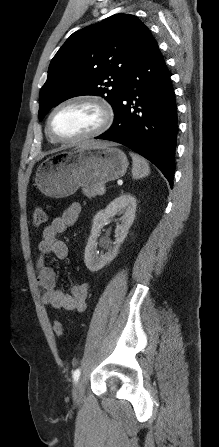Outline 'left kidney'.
Here are the masks:
<instances>
[{"mask_svg": "<svg viewBox=\"0 0 219 447\" xmlns=\"http://www.w3.org/2000/svg\"><path fill=\"white\" fill-rule=\"evenodd\" d=\"M136 212V199L129 193L120 195L111 201L104 210L97 212L92 221V228L85 247L84 262L91 272H96L109 264L118 254L119 247L125 240L133 224ZM120 215V224L115 230V242L102 239L101 244L107 250L97 254V237L101 228L115 215Z\"/></svg>", "mask_w": 219, "mask_h": 447, "instance_id": "1", "label": "left kidney"}]
</instances>
